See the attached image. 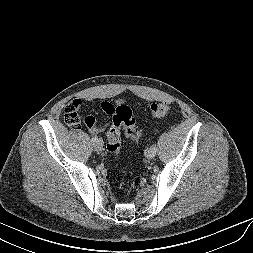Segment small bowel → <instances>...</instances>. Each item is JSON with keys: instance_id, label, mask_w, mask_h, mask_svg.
I'll list each match as a JSON object with an SVG mask.
<instances>
[{"instance_id": "small-bowel-1", "label": "small bowel", "mask_w": 253, "mask_h": 253, "mask_svg": "<svg viewBox=\"0 0 253 253\" xmlns=\"http://www.w3.org/2000/svg\"><path fill=\"white\" fill-rule=\"evenodd\" d=\"M118 103H121V102H118ZM106 104H107L109 107H111V108L113 107V105L110 104V103H103V105H102V109H103L104 113L107 115V117H111V112L105 108V105H106ZM106 126H107V125H105V126H103V127H97V126L95 125V123H94L93 126H91V127H88V126H87V127L89 128V131H90L92 134L98 135V134H100L101 132L104 131V129H105Z\"/></svg>"}]
</instances>
